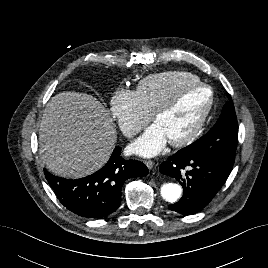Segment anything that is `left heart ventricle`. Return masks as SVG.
Segmentation results:
<instances>
[{
	"label": "left heart ventricle",
	"mask_w": 268,
	"mask_h": 268,
	"mask_svg": "<svg viewBox=\"0 0 268 268\" xmlns=\"http://www.w3.org/2000/svg\"><path fill=\"white\" fill-rule=\"evenodd\" d=\"M208 97L209 92L202 88H192L180 95L177 106L157 121L167 140L179 139L193 127Z\"/></svg>",
	"instance_id": "obj_1"
}]
</instances>
